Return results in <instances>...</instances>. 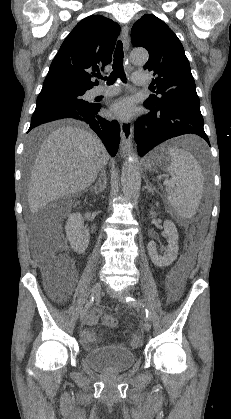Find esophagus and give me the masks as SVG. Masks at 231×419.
I'll list each match as a JSON object with an SVG mask.
<instances>
[{
  "instance_id": "obj_1",
  "label": "esophagus",
  "mask_w": 231,
  "mask_h": 419,
  "mask_svg": "<svg viewBox=\"0 0 231 419\" xmlns=\"http://www.w3.org/2000/svg\"><path fill=\"white\" fill-rule=\"evenodd\" d=\"M129 29L127 25L122 27V41L126 51L129 49ZM121 144L120 150L123 154L127 153L132 147L133 126L128 120L120 122Z\"/></svg>"
}]
</instances>
